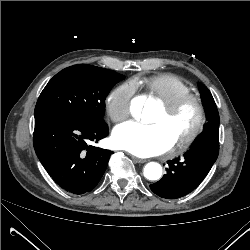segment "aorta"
<instances>
[{"instance_id":"762f6f07","label":"aorta","mask_w":250,"mask_h":250,"mask_svg":"<svg viewBox=\"0 0 250 250\" xmlns=\"http://www.w3.org/2000/svg\"><path fill=\"white\" fill-rule=\"evenodd\" d=\"M143 116L146 121L151 120V113L148 109H144ZM162 175V167L156 162H150L146 164L144 168V176L148 180H158Z\"/></svg>"}]
</instances>
